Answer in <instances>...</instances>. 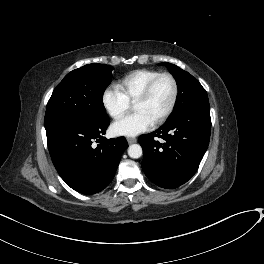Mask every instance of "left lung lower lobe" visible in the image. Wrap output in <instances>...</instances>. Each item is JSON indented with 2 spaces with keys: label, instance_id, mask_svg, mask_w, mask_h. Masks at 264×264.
Segmentation results:
<instances>
[{
  "label": "left lung lower lobe",
  "instance_id": "1",
  "mask_svg": "<svg viewBox=\"0 0 264 264\" xmlns=\"http://www.w3.org/2000/svg\"><path fill=\"white\" fill-rule=\"evenodd\" d=\"M210 133V105L202 102L185 108L155 132L141 135L139 143L144 155L141 166L145 175L166 189L186 183L199 167Z\"/></svg>",
  "mask_w": 264,
  "mask_h": 264
}]
</instances>
